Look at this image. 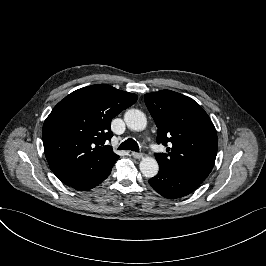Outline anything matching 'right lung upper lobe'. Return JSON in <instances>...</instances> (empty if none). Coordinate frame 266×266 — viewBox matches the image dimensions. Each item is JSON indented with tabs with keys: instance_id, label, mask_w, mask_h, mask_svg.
I'll use <instances>...</instances> for the list:
<instances>
[{
	"instance_id": "cb5924a9",
	"label": "right lung upper lobe",
	"mask_w": 266,
	"mask_h": 266,
	"mask_svg": "<svg viewBox=\"0 0 266 266\" xmlns=\"http://www.w3.org/2000/svg\"><path fill=\"white\" fill-rule=\"evenodd\" d=\"M133 93L107 84L78 89L52 110L44 122V151L53 173L66 185L110 168L119 158L105 141L111 120L137 100Z\"/></svg>"
}]
</instances>
